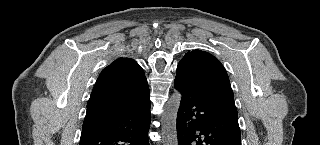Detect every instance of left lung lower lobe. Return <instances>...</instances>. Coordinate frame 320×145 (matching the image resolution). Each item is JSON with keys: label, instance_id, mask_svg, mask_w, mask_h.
<instances>
[{"label": "left lung lower lobe", "instance_id": "obj_1", "mask_svg": "<svg viewBox=\"0 0 320 145\" xmlns=\"http://www.w3.org/2000/svg\"><path fill=\"white\" fill-rule=\"evenodd\" d=\"M175 88L182 94L177 115L178 145H241L238 118L221 104L226 93L222 80L180 61Z\"/></svg>", "mask_w": 320, "mask_h": 145}]
</instances>
